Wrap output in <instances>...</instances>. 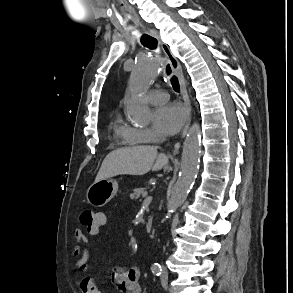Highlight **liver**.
<instances>
[{
  "instance_id": "1",
  "label": "liver",
  "mask_w": 293,
  "mask_h": 293,
  "mask_svg": "<svg viewBox=\"0 0 293 293\" xmlns=\"http://www.w3.org/2000/svg\"><path fill=\"white\" fill-rule=\"evenodd\" d=\"M168 162V157L158 154L154 146L120 148L105 157L95 182L117 175H144L161 170Z\"/></svg>"
}]
</instances>
